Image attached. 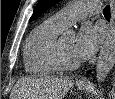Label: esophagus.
Masks as SVG:
<instances>
[{"instance_id": "esophagus-1", "label": "esophagus", "mask_w": 115, "mask_h": 99, "mask_svg": "<svg viewBox=\"0 0 115 99\" xmlns=\"http://www.w3.org/2000/svg\"><path fill=\"white\" fill-rule=\"evenodd\" d=\"M110 7H111V20H110V28L112 27L113 23H114V19H115V2L114 0H110ZM80 84H87L89 83L88 79L86 77H82L79 79L78 81Z\"/></svg>"}]
</instances>
